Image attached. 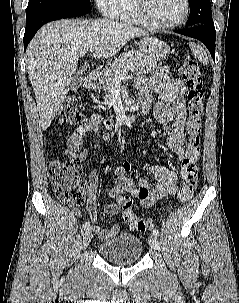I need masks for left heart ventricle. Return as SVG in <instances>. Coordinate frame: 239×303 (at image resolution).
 I'll return each mask as SVG.
<instances>
[{"label": "left heart ventricle", "instance_id": "b2bd125f", "mask_svg": "<svg viewBox=\"0 0 239 303\" xmlns=\"http://www.w3.org/2000/svg\"><path fill=\"white\" fill-rule=\"evenodd\" d=\"M147 7L150 19L161 24L176 21L184 12L183 0H148Z\"/></svg>", "mask_w": 239, "mask_h": 303}]
</instances>
